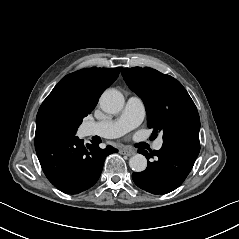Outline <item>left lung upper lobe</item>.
I'll return each mask as SVG.
<instances>
[{
    "instance_id": "obj_1",
    "label": "left lung upper lobe",
    "mask_w": 239,
    "mask_h": 239,
    "mask_svg": "<svg viewBox=\"0 0 239 239\" xmlns=\"http://www.w3.org/2000/svg\"><path fill=\"white\" fill-rule=\"evenodd\" d=\"M122 75L143 100L153 136L162 132L163 141L183 135L199 137L197 108L179 81L152 68H125Z\"/></svg>"
}]
</instances>
